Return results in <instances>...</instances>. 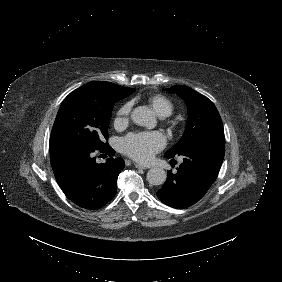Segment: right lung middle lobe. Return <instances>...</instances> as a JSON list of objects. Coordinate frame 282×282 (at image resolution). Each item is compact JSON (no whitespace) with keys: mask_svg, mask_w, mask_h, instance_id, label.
Wrapping results in <instances>:
<instances>
[{"mask_svg":"<svg viewBox=\"0 0 282 282\" xmlns=\"http://www.w3.org/2000/svg\"><path fill=\"white\" fill-rule=\"evenodd\" d=\"M135 89L110 82H89L71 92L57 113L51 136L50 153L71 147L107 146L108 126L114 104Z\"/></svg>","mask_w":282,"mask_h":282,"instance_id":"right-lung-middle-lobe-1","label":"right lung middle lobe"}]
</instances>
